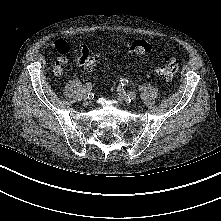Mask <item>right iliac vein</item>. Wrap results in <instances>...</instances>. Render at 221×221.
<instances>
[{"label":"right iliac vein","instance_id":"right-iliac-vein-1","mask_svg":"<svg viewBox=\"0 0 221 221\" xmlns=\"http://www.w3.org/2000/svg\"><path fill=\"white\" fill-rule=\"evenodd\" d=\"M89 95H90V92L88 90H84V93H83L84 100L89 99Z\"/></svg>","mask_w":221,"mask_h":221}]
</instances>
